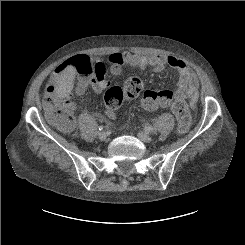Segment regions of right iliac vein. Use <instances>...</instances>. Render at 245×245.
Instances as JSON below:
<instances>
[{
  "instance_id": "63e3f726",
  "label": "right iliac vein",
  "mask_w": 245,
  "mask_h": 245,
  "mask_svg": "<svg viewBox=\"0 0 245 245\" xmlns=\"http://www.w3.org/2000/svg\"><path fill=\"white\" fill-rule=\"evenodd\" d=\"M98 136L100 140L104 141L107 139L108 134L106 132H100Z\"/></svg>"
}]
</instances>
